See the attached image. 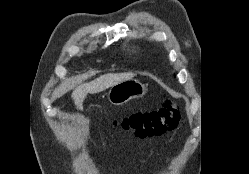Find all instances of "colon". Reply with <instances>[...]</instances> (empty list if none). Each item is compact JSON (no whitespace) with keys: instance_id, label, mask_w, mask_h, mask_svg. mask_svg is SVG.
Instances as JSON below:
<instances>
[{"instance_id":"1","label":"colon","mask_w":249,"mask_h":174,"mask_svg":"<svg viewBox=\"0 0 249 174\" xmlns=\"http://www.w3.org/2000/svg\"><path fill=\"white\" fill-rule=\"evenodd\" d=\"M180 118L179 109L171 102L153 111L138 112L115 121V125L132 131L137 137L157 136L172 130Z\"/></svg>"}]
</instances>
